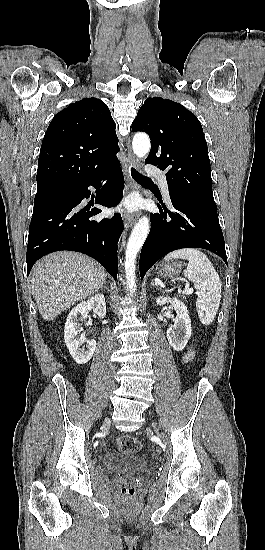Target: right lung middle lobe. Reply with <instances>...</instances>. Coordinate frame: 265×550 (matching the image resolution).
<instances>
[{
	"label": "right lung middle lobe",
	"mask_w": 265,
	"mask_h": 550,
	"mask_svg": "<svg viewBox=\"0 0 265 550\" xmlns=\"http://www.w3.org/2000/svg\"><path fill=\"white\" fill-rule=\"evenodd\" d=\"M65 187L66 186H62V185H44V186L38 187L37 193L34 199V204L42 200H45L54 194H57L58 192L65 189Z\"/></svg>",
	"instance_id": "obj_1"
}]
</instances>
